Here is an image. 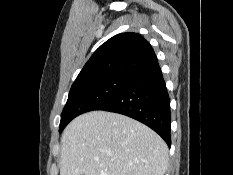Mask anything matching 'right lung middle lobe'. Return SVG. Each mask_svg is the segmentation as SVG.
Instances as JSON below:
<instances>
[{
    "mask_svg": "<svg viewBox=\"0 0 233 175\" xmlns=\"http://www.w3.org/2000/svg\"><path fill=\"white\" fill-rule=\"evenodd\" d=\"M133 77L121 74L102 75L74 82L61 114L59 131L78 115L96 110L113 98Z\"/></svg>",
    "mask_w": 233,
    "mask_h": 175,
    "instance_id": "right-lung-middle-lobe-1",
    "label": "right lung middle lobe"
}]
</instances>
